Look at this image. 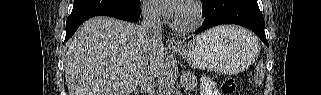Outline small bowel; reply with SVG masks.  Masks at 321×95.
Masks as SVG:
<instances>
[{"instance_id":"c3829d8e","label":"small bowel","mask_w":321,"mask_h":95,"mask_svg":"<svg viewBox=\"0 0 321 95\" xmlns=\"http://www.w3.org/2000/svg\"><path fill=\"white\" fill-rule=\"evenodd\" d=\"M211 93H210V91L209 90H207V89H204V91H203V95H210Z\"/></svg>"}]
</instances>
